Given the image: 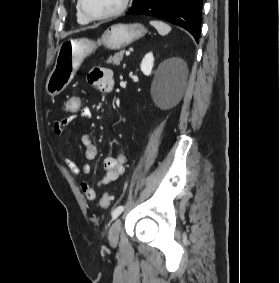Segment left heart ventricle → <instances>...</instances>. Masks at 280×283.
<instances>
[{
    "label": "left heart ventricle",
    "mask_w": 280,
    "mask_h": 283,
    "mask_svg": "<svg viewBox=\"0 0 280 283\" xmlns=\"http://www.w3.org/2000/svg\"><path fill=\"white\" fill-rule=\"evenodd\" d=\"M122 0H84L85 9L92 15H102L117 9Z\"/></svg>",
    "instance_id": "b2bd125f"
}]
</instances>
